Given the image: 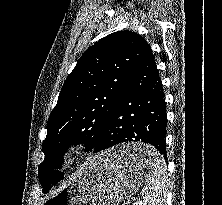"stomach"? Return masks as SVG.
<instances>
[{"label": "stomach", "mask_w": 222, "mask_h": 205, "mask_svg": "<svg viewBox=\"0 0 222 205\" xmlns=\"http://www.w3.org/2000/svg\"><path fill=\"white\" fill-rule=\"evenodd\" d=\"M155 156L143 143H129L90 157L71 176L68 184L42 199L40 205H118L146 181L150 165L129 162L135 152Z\"/></svg>", "instance_id": "1"}]
</instances>
